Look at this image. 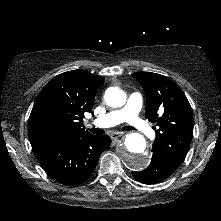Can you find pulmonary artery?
<instances>
[{
	"label": "pulmonary artery",
	"mask_w": 221,
	"mask_h": 221,
	"mask_svg": "<svg viewBox=\"0 0 221 221\" xmlns=\"http://www.w3.org/2000/svg\"><path fill=\"white\" fill-rule=\"evenodd\" d=\"M142 107V96L139 93H133L128 98L126 105L115 111H111L92 121L96 127H112L119 123L126 122L136 130L142 132L148 137L154 136L152 128L139 116Z\"/></svg>",
	"instance_id": "e3ab8cb5"
}]
</instances>
